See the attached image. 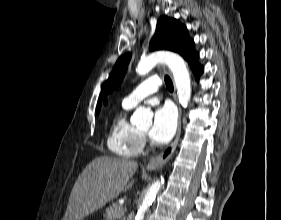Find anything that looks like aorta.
Listing matches in <instances>:
<instances>
[{"label": "aorta", "instance_id": "1", "mask_svg": "<svg viewBox=\"0 0 281 220\" xmlns=\"http://www.w3.org/2000/svg\"><path fill=\"white\" fill-rule=\"evenodd\" d=\"M157 63H165L169 67L174 77L179 102L183 107H187L191 97V81L189 71L183 58L172 52L154 53L140 60L136 72L139 75H145ZM151 115L149 110L140 106L135 110L131 117V122L135 125L145 124L150 121ZM163 182L164 179L161 178V181H156L149 187L141 205L139 206L135 220H144L145 212L155 200Z\"/></svg>", "mask_w": 281, "mask_h": 220}]
</instances>
